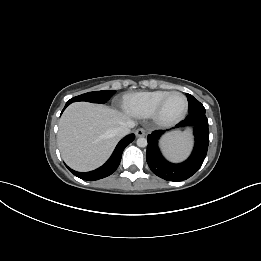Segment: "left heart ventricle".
Here are the masks:
<instances>
[{"label":"left heart ventricle","mask_w":261,"mask_h":261,"mask_svg":"<svg viewBox=\"0 0 261 261\" xmlns=\"http://www.w3.org/2000/svg\"><path fill=\"white\" fill-rule=\"evenodd\" d=\"M184 99L180 95L170 96L162 109V115L164 118L172 119L177 117L184 109Z\"/></svg>","instance_id":"left-heart-ventricle-1"}]
</instances>
